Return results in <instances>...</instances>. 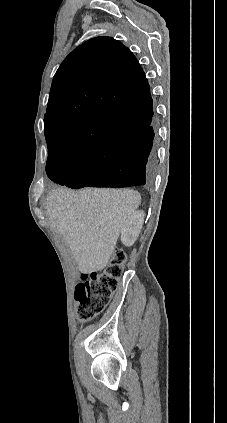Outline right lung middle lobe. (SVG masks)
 <instances>
[{
	"label": "right lung middle lobe",
	"mask_w": 227,
	"mask_h": 423,
	"mask_svg": "<svg viewBox=\"0 0 227 423\" xmlns=\"http://www.w3.org/2000/svg\"><path fill=\"white\" fill-rule=\"evenodd\" d=\"M48 145V159L47 163L52 161L68 160V162H76L80 160L85 152L68 148L61 144L47 142Z\"/></svg>",
	"instance_id": "1"
}]
</instances>
